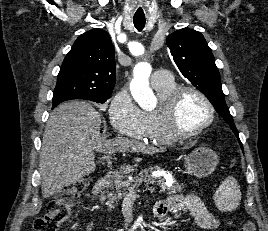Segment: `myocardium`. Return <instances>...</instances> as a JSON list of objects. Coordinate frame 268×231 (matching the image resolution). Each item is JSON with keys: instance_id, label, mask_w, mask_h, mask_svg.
I'll return each instance as SVG.
<instances>
[{"instance_id": "f54148a6", "label": "myocardium", "mask_w": 268, "mask_h": 231, "mask_svg": "<svg viewBox=\"0 0 268 231\" xmlns=\"http://www.w3.org/2000/svg\"><path fill=\"white\" fill-rule=\"evenodd\" d=\"M187 92H192L202 99L209 112L208 119L198 128L192 131H182L178 126L177 119L179 102L182 96ZM161 111L164 119L165 129L167 133L175 139H186L200 135L213 123L215 118V109L209 97L204 92L193 86L177 87L163 102Z\"/></svg>"}]
</instances>
